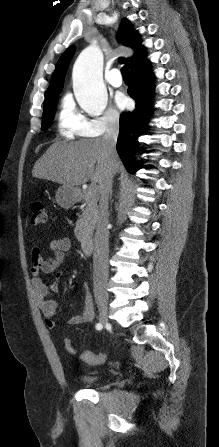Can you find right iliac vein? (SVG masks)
Returning <instances> with one entry per match:
<instances>
[{
    "instance_id": "63e3f726",
    "label": "right iliac vein",
    "mask_w": 219,
    "mask_h": 447,
    "mask_svg": "<svg viewBox=\"0 0 219 447\" xmlns=\"http://www.w3.org/2000/svg\"><path fill=\"white\" fill-rule=\"evenodd\" d=\"M99 321L102 325H105L108 323V314H107V308L102 306L99 311Z\"/></svg>"
}]
</instances>
